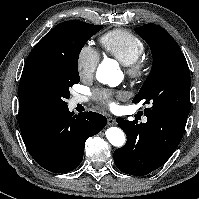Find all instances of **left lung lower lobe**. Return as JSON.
I'll use <instances>...</instances> for the list:
<instances>
[{"mask_svg":"<svg viewBox=\"0 0 199 199\" xmlns=\"http://www.w3.org/2000/svg\"><path fill=\"white\" fill-rule=\"evenodd\" d=\"M189 113L167 107L145 112L146 123L117 118L125 132V146L114 152L117 168L130 175H146L161 167L179 145Z\"/></svg>","mask_w":199,"mask_h":199,"instance_id":"left-lung-lower-lobe-1","label":"left lung lower lobe"}]
</instances>
